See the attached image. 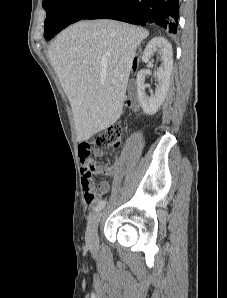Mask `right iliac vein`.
Here are the masks:
<instances>
[{
    "label": "right iliac vein",
    "instance_id": "63e3f726",
    "mask_svg": "<svg viewBox=\"0 0 227 298\" xmlns=\"http://www.w3.org/2000/svg\"><path fill=\"white\" fill-rule=\"evenodd\" d=\"M102 213L99 212L93 216L87 225L85 239L90 248H95L98 244V225L101 219Z\"/></svg>",
    "mask_w": 227,
    "mask_h": 298
}]
</instances>
